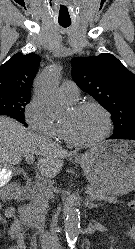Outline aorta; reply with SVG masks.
I'll return each mask as SVG.
<instances>
[{"mask_svg":"<svg viewBox=\"0 0 135 249\" xmlns=\"http://www.w3.org/2000/svg\"><path fill=\"white\" fill-rule=\"evenodd\" d=\"M61 70L60 65L54 64L42 73L35 82V98L48 113H57L63 110L62 97L58 89ZM65 232L67 242L73 248L80 233V211L77 206H70L66 211Z\"/></svg>","mask_w":135,"mask_h":249,"instance_id":"762f6f07","label":"aorta"}]
</instances>
